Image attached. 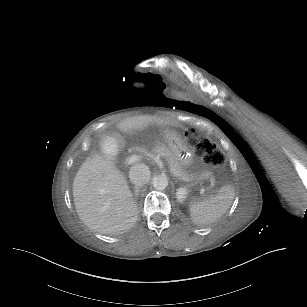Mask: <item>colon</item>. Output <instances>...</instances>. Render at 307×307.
Here are the masks:
<instances>
[{"label": "colon", "instance_id": "1", "mask_svg": "<svg viewBox=\"0 0 307 307\" xmlns=\"http://www.w3.org/2000/svg\"><path fill=\"white\" fill-rule=\"evenodd\" d=\"M188 138H192L193 134L189 133ZM201 148L204 152V162L212 167H222L225 164V158L221 151L213 146L209 141H202Z\"/></svg>", "mask_w": 307, "mask_h": 307}]
</instances>
